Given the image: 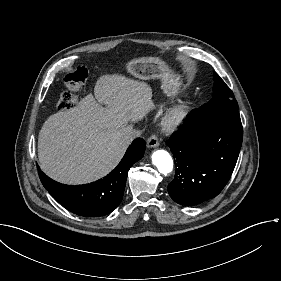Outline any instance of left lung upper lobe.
Listing matches in <instances>:
<instances>
[{"label":"left lung upper lobe","instance_id":"5c2ea615","mask_svg":"<svg viewBox=\"0 0 281 281\" xmlns=\"http://www.w3.org/2000/svg\"><path fill=\"white\" fill-rule=\"evenodd\" d=\"M200 109L202 111L238 110V104L233 92L216 73H214L213 98L208 103L202 105Z\"/></svg>","mask_w":281,"mask_h":281}]
</instances>
